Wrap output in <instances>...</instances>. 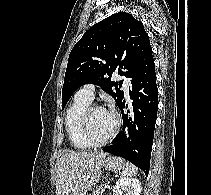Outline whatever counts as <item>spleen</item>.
Listing matches in <instances>:
<instances>
[{"label":"spleen","mask_w":211,"mask_h":195,"mask_svg":"<svg viewBox=\"0 0 211 195\" xmlns=\"http://www.w3.org/2000/svg\"><path fill=\"white\" fill-rule=\"evenodd\" d=\"M138 172V169L136 166H134L133 164L127 162L126 167L123 171V175L125 176H133L136 175Z\"/></svg>","instance_id":"3e777b00"}]
</instances>
